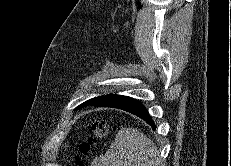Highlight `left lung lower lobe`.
Instances as JSON below:
<instances>
[{"mask_svg": "<svg viewBox=\"0 0 231 166\" xmlns=\"http://www.w3.org/2000/svg\"><path fill=\"white\" fill-rule=\"evenodd\" d=\"M90 106L122 109L140 117L148 124H150L154 129L156 128L155 123L153 122L151 116L149 115L143 104L140 101L131 97L117 94H107L104 96H99L90 104Z\"/></svg>", "mask_w": 231, "mask_h": 166, "instance_id": "obj_1", "label": "left lung lower lobe"}]
</instances>
